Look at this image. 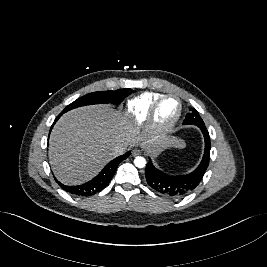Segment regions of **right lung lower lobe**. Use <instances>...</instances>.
Segmentation results:
<instances>
[{
	"instance_id": "1",
	"label": "right lung lower lobe",
	"mask_w": 267,
	"mask_h": 267,
	"mask_svg": "<svg viewBox=\"0 0 267 267\" xmlns=\"http://www.w3.org/2000/svg\"><path fill=\"white\" fill-rule=\"evenodd\" d=\"M60 116L61 115L57 116L53 125L60 118ZM53 125L51 126V129H52ZM51 129H50V131H51ZM129 155H130V152H127V153L115 158L114 160L109 162L94 179H92L91 181H89L85 184H82L79 186H67V185L60 183L57 179H55V180L57 183H59L60 187L63 190H65V191H67L73 195L84 196V197L94 195V194L100 192L101 190H103L108 185V183L111 181L113 175L115 174L119 163L121 161L125 160L126 158H128Z\"/></svg>"
}]
</instances>
